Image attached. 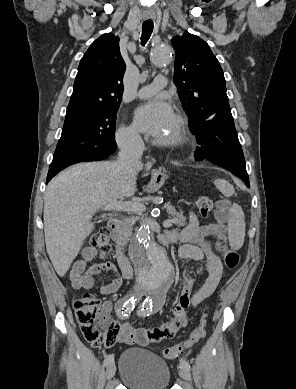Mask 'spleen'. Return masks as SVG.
<instances>
[{"mask_svg": "<svg viewBox=\"0 0 296 389\" xmlns=\"http://www.w3.org/2000/svg\"><path fill=\"white\" fill-rule=\"evenodd\" d=\"M216 188L226 197L235 193L233 185L227 180L216 179L214 181ZM230 218L228 220V239L232 249L239 250L244 243L245 238V216L241 207L233 204L229 209Z\"/></svg>", "mask_w": 296, "mask_h": 389, "instance_id": "3e777b00", "label": "spleen"}]
</instances>
